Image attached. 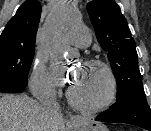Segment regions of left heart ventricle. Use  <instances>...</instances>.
Instances as JSON below:
<instances>
[{"instance_id": "left-heart-ventricle-1", "label": "left heart ventricle", "mask_w": 151, "mask_h": 131, "mask_svg": "<svg viewBox=\"0 0 151 131\" xmlns=\"http://www.w3.org/2000/svg\"><path fill=\"white\" fill-rule=\"evenodd\" d=\"M107 88V78L101 69L81 66L77 69V77L70 90L78 99L87 103H95L103 99Z\"/></svg>"}]
</instances>
